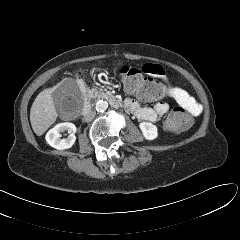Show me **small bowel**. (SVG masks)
I'll return each mask as SVG.
<instances>
[{
	"instance_id": "small-bowel-1",
	"label": "small bowel",
	"mask_w": 240,
	"mask_h": 240,
	"mask_svg": "<svg viewBox=\"0 0 240 240\" xmlns=\"http://www.w3.org/2000/svg\"><path fill=\"white\" fill-rule=\"evenodd\" d=\"M142 72L164 81L167 77L164 69L157 64H145L142 66ZM169 97L172 98L180 107L184 108L190 114L197 116L201 113V105L186 90L177 86H169ZM125 105L130 109L139 120L155 123L159 117L166 114L169 110V104L160 101L153 107L143 106L133 99H126Z\"/></svg>"
}]
</instances>
